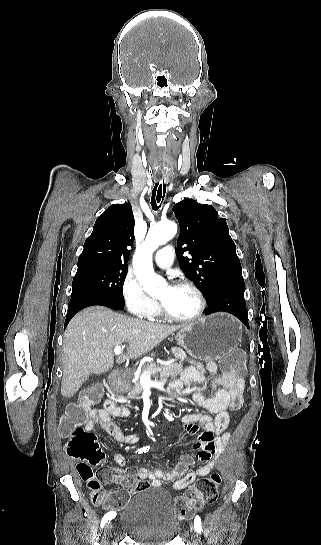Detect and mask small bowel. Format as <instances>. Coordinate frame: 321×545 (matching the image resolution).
I'll return each instance as SVG.
<instances>
[{
  "label": "small bowel",
  "instance_id": "c3829d8e",
  "mask_svg": "<svg viewBox=\"0 0 321 545\" xmlns=\"http://www.w3.org/2000/svg\"><path fill=\"white\" fill-rule=\"evenodd\" d=\"M216 376L212 380V388L215 394L211 397L204 396L194 384L203 383L206 374ZM175 388H186L192 394L193 402L204 408L208 413H189L184 416V430L188 436L195 438L193 449L197 450L196 459L202 466L193 472H188L194 460L189 455H183L180 462L171 472H164L160 469L149 470L139 467L136 476L140 479H148L155 488H163L165 482L173 481L171 488L182 490L193 483L197 478L206 476L216 466L218 459L224 452L226 443L230 439L227 431L230 417L229 411H236L242 406L244 382L242 378H235L224 373H219L218 365L209 361L205 365L192 362L181 374L180 380L173 384ZM130 410L127 407L119 406L113 399L104 401L100 409L90 411L85 429L92 431L99 426L106 433L113 436L118 442L127 445H135L139 437L134 434H125L113 421L112 417H127ZM214 415V417L211 416ZM113 459L117 467L106 465V458L103 453L98 460H85L77 465V470L83 478L85 474L95 475L93 467L100 466L98 473L104 483H123L132 472L125 468V458L120 453H114Z\"/></svg>",
  "mask_w": 321,
  "mask_h": 545
}]
</instances>
